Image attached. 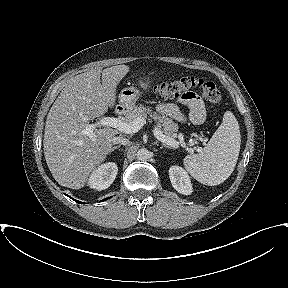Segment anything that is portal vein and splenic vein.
I'll return each instance as SVG.
<instances>
[{"mask_svg":"<svg viewBox=\"0 0 288 288\" xmlns=\"http://www.w3.org/2000/svg\"><path fill=\"white\" fill-rule=\"evenodd\" d=\"M145 123L146 121L142 117H138L129 123L114 117H103L95 123L87 124L82 133L88 135L92 139V141H95L94 130L97 127L107 126L115 128L127 134H132L138 132L145 125ZM153 133L158 140H160L163 143H166L167 145L173 148H178L180 145V143L175 139L164 135L158 127L154 128ZM197 151H201V149L198 148ZM189 152L192 153L193 149H189Z\"/></svg>","mask_w":288,"mask_h":288,"instance_id":"18ae733b","label":"portal vein and splenic vein"}]
</instances>
